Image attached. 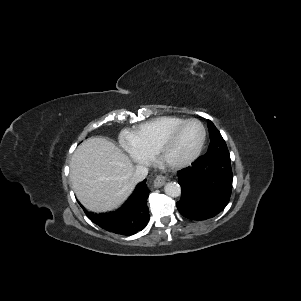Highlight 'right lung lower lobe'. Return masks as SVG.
<instances>
[{"label": "right lung lower lobe", "instance_id": "1", "mask_svg": "<svg viewBox=\"0 0 301 301\" xmlns=\"http://www.w3.org/2000/svg\"><path fill=\"white\" fill-rule=\"evenodd\" d=\"M149 190L146 180L135 188L121 208L109 213H92L84 210L87 217L106 231L130 236L145 228L150 216L147 206Z\"/></svg>", "mask_w": 301, "mask_h": 301}]
</instances>
